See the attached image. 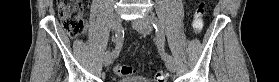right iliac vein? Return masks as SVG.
Returning a JSON list of instances; mask_svg holds the SVG:
<instances>
[{"mask_svg":"<svg viewBox=\"0 0 279 82\" xmlns=\"http://www.w3.org/2000/svg\"><path fill=\"white\" fill-rule=\"evenodd\" d=\"M122 18L119 13H116L113 17V31L116 32L121 26ZM112 62V54L110 51H107L103 57V64L109 66Z\"/></svg>","mask_w":279,"mask_h":82,"instance_id":"63e3f726","label":"right iliac vein"}]
</instances>
